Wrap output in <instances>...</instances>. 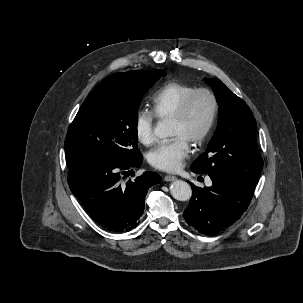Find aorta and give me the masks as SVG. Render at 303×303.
<instances>
[{"instance_id": "aorta-1", "label": "aorta", "mask_w": 303, "mask_h": 303, "mask_svg": "<svg viewBox=\"0 0 303 303\" xmlns=\"http://www.w3.org/2000/svg\"><path fill=\"white\" fill-rule=\"evenodd\" d=\"M154 134L160 138H166L173 135V130L168 121H159L154 129ZM171 195L179 201H187L192 196L191 186L182 180H176L170 187Z\"/></svg>"}]
</instances>
